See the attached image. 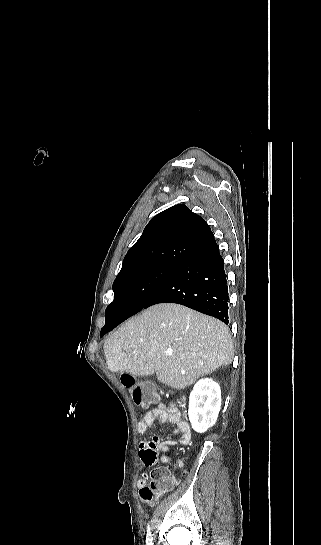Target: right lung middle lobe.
<instances>
[{
    "label": "right lung middle lobe",
    "instance_id": "right-lung-middle-lobe-1",
    "mask_svg": "<svg viewBox=\"0 0 321 545\" xmlns=\"http://www.w3.org/2000/svg\"><path fill=\"white\" fill-rule=\"evenodd\" d=\"M178 268L158 264L119 274L113 283L114 300L108 310L115 309V318L119 320L138 313ZM105 317L107 325L110 321L108 313Z\"/></svg>",
    "mask_w": 321,
    "mask_h": 545
}]
</instances>
